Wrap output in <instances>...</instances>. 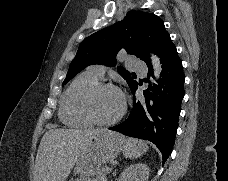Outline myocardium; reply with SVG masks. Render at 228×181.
<instances>
[{"label": "myocardium", "instance_id": "f54148a6", "mask_svg": "<svg viewBox=\"0 0 228 181\" xmlns=\"http://www.w3.org/2000/svg\"><path fill=\"white\" fill-rule=\"evenodd\" d=\"M112 88L118 91L122 98V106L120 111L112 118L109 119H102L100 118L94 108V99L95 96L102 90ZM84 110L87 117L95 124L99 125H110L117 122L125 113L126 110V98L122 91L113 83V82H106L101 81L96 83L87 93L86 100L84 103Z\"/></svg>", "mask_w": 228, "mask_h": 181}]
</instances>
